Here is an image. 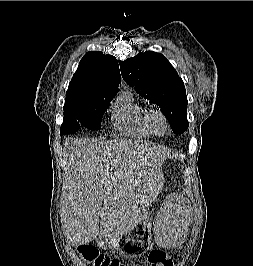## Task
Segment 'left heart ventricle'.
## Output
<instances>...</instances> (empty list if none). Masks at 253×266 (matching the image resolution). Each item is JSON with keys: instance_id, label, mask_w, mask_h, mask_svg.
I'll return each instance as SVG.
<instances>
[{"instance_id": "b2bd125f", "label": "left heart ventricle", "mask_w": 253, "mask_h": 266, "mask_svg": "<svg viewBox=\"0 0 253 266\" xmlns=\"http://www.w3.org/2000/svg\"><path fill=\"white\" fill-rule=\"evenodd\" d=\"M155 126L158 132L162 133L165 131V125L160 119H156Z\"/></svg>"}]
</instances>
